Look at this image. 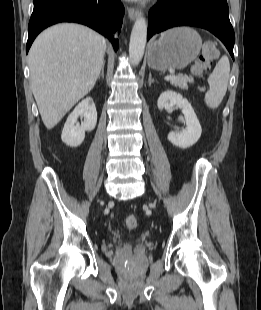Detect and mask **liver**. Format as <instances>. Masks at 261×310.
I'll return each instance as SVG.
<instances>
[{"mask_svg": "<svg viewBox=\"0 0 261 310\" xmlns=\"http://www.w3.org/2000/svg\"><path fill=\"white\" fill-rule=\"evenodd\" d=\"M105 47L102 35L75 23L54 25L35 39L28 54L31 87L47 129L92 90Z\"/></svg>", "mask_w": 261, "mask_h": 310, "instance_id": "6515ba94", "label": "liver"}]
</instances>
